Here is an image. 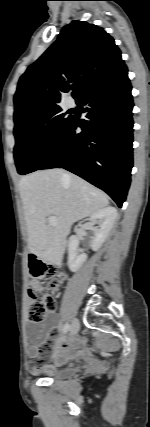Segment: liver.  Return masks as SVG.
<instances>
[{
  "mask_svg": "<svg viewBox=\"0 0 150 427\" xmlns=\"http://www.w3.org/2000/svg\"><path fill=\"white\" fill-rule=\"evenodd\" d=\"M28 243L42 259L61 263L73 223L109 205L100 189L62 169L36 171L20 179ZM54 216L56 226L47 224Z\"/></svg>",
  "mask_w": 150,
  "mask_h": 427,
  "instance_id": "1",
  "label": "liver"
}]
</instances>
